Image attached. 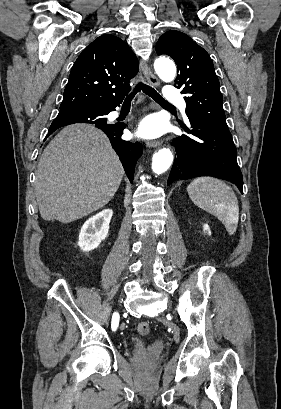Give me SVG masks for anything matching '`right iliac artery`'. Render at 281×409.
<instances>
[{"label":"right iliac artery","mask_w":281,"mask_h":409,"mask_svg":"<svg viewBox=\"0 0 281 409\" xmlns=\"http://www.w3.org/2000/svg\"><path fill=\"white\" fill-rule=\"evenodd\" d=\"M118 323H119V315L117 313L113 314L112 317V330H116V328L118 327Z\"/></svg>","instance_id":"obj_1"}]
</instances>
